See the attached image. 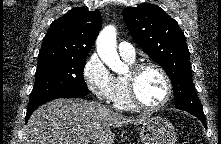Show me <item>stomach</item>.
I'll list each match as a JSON object with an SVG mask.
<instances>
[{"label": "stomach", "mask_w": 221, "mask_h": 144, "mask_svg": "<svg viewBox=\"0 0 221 144\" xmlns=\"http://www.w3.org/2000/svg\"><path fill=\"white\" fill-rule=\"evenodd\" d=\"M139 130L143 144H174L177 139L172 123L161 116L148 118Z\"/></svg>", "instance_id": "stomach-1"}]
</instances>
